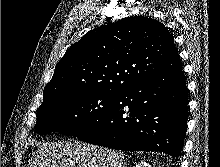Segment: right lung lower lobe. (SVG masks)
<instances>
[{"label":"right lung lower lobe","instance_id":"1","mask_svg":"<svg viewBox=\"0 0 220 167\" xmlns=\"http://www.w3.org/2000/svg\"><path fill=\"white\" fill-rule=\"evenodd\" d=\"M188 120L182 66L140 80L118 92L112 107L79 140L128 151H157L179 157Z\"/></svg>","mask_w":220,"mask_h":167}]
</instances>
